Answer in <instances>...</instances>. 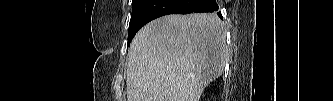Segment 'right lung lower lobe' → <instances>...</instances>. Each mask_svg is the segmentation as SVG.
<instances>
[{
  "label": "right lung lower lobe",
  "mask_w": 333,
  "mask_h": 101,
  "mask_svg": "<svg viewBox=\"0 0 333 101\" xmlns=\"http://www.w3.org/2000/svg\"><path fill=\"white\" fill-rule=\"evenodd\" d=\"M218 9L215 0H143L131 21L132 38L145 24L163 15L217 12ZM217 14L222 17L221 12Z\"/></svg>",
  "instance_id": "98d812e1"
}]
</instances>
